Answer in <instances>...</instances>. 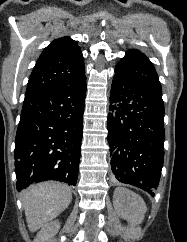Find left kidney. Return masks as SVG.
I'll return each instance as SVG.
<instances>
[{
  "label": "left kidney",
  "instance_id": "left-kidney-1",
  "mask_svg": "<svg viewBox=\"0 0 187 242\" xmlns=\"http://www.w3.org/2000/svg\"><path fill=\"white\" fill-rule=\"evenodd\" d=\"M113 205L116 213L132 224H139L144 220L147 210L143 199L132 191L118 187L114 191Z\"/></svg>",
  "mask_w": 187,
  "mask_h": 242
}]
</instances>
